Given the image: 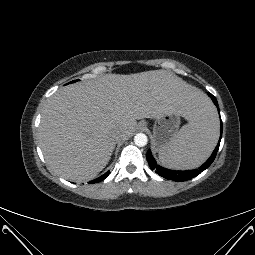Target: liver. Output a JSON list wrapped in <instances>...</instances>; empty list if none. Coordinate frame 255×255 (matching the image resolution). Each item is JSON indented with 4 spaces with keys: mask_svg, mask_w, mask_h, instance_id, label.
<instances>
[{
    "mask_svg": "<svg viewBox=\"0 0 255 255\" xmlns=\"http://www.w3.org/2000/svg\"><path fill=\"white\" fill-rule=\"evenodd\" d=\"M206 96L166 70L130 75L107 74L66 86L47 101L39 126L40 146L47 164L74 182L93 179L108 164L118 141L125 140L137 119L169 111L190 120Z\"/></svg>",
    "mask_w": 255,
    "mask_h": 255,
    "instance_id": "liver-1",
    "label": "liver"
}]
</instances>
